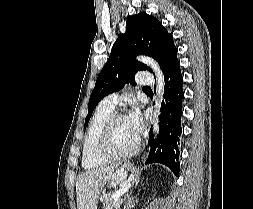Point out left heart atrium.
<instances>
[{
  "label": "left heart atrium",
  "mask_w": 253,
  "mask_h": 209,
  "mask_svg": "<svg viewBox=\"0 0 253 209\" xmlns=\"http://www.w3.org/2000/svg\"><path fill=\"white\" fill-rule=\"evenodd\" d=\"M126 120L133 132L138 138L143 128V121L141 114L137 108H133L126 116Z\"/></svg>",
  "instance_id": "39dd6f15"
}]
</instances>
